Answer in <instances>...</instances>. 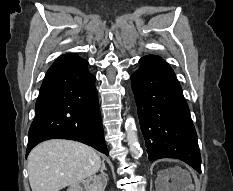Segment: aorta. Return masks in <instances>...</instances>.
Instances as JSON below:
<instances>
[{
	"label": "aorta",
	"mask_w": 233,
	"mask_h": 191,
	"mask_svg": "<svg viewBox=\"0 0 233 191\" xmlns=\"http://www.w3.org/2000/svg\"><path fill=\"white\" fill-rule=\"evenodd\" d=\"M126 134H127V142L130 148L131 155L134 158H139L142 155V149L140 148L137 136V128L135 124V120L132 116H128L126 119Z\"/></svg>",
	"instance_id": "obj_1"
}]
</instances>
